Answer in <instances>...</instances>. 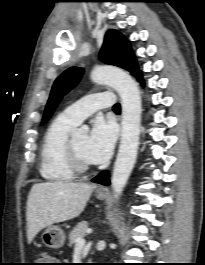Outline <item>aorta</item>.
Returning a JSON list of instances; mask_svg holds the SVG:
<instances>
[{
	"label": "aorta",
	"mask_w": 205,
	"mask_h": 265,
	"mask_svg": "<svg viewBox=\"0 0 205 265\" xmlns=\"http://www.w3.org/2000/svg\"><path fill=\"white\" fill-rule=\"evenodd\" d=\"M91 79L95 83L112 86L121 97V140L111 179L114 197L118 198L128 181L137 158L142 113L141 94L136 81L119 68L95 67L91 72ZM87 131L88 127L85 125L80 129L82 133Z\"/></svg>",
	"instance_id": "obj_1"
}]
</instances>
